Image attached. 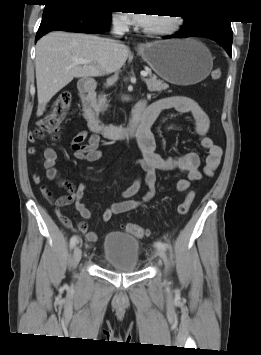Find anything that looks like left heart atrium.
I'll return each mask as SVG.
<instances>
[{"label": "left heart atrium", "instance_id": "obj_1", "mask_svg": "<svg viewBox=\"0 0 261 355\" xmlns=\"http://www.w3.org/2000/svg\"><path fill=\"white\" fill-rule=\"evenodd\" d=\"M128 21L134 25L145 27L149 22L150 15L148 13H128Z\"/></svg>", "mask_w": 261, "mask_h": 355}]
</instances>
